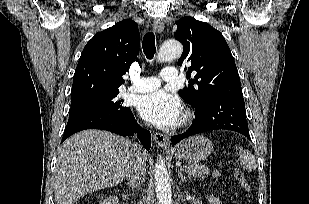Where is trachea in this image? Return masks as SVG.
Segmentation results:
<instances>
[{"mask_svg":"<svg viewBox=\"0 0 309 204\" xmlns=\"http://www.w3.org/2000/svg\"><path fill=\"white\" fill-rule=\"evenodd\" d=\"M142 47L146 57L151 60L154 57L156 51L155 36L152 32H149L144 36Z\"/></svg>","mask_w":309,"mask_h":204,"instance_id":"3493384b","label":"trachea"}]
</instances>
